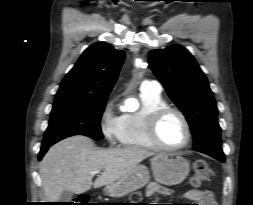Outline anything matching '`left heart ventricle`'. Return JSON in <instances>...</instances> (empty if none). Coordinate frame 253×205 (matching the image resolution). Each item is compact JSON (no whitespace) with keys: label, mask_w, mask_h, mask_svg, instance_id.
<instances>
[{"label":"left heart ventricle","mask_w":253,"mask_h":205,"mask_svg":"<svg viewBox=\"0 0 253 205\" xmlns=\"http://www.w3.org/2000/svg\"><path fill=\"white\" fill-rule=\"evenodd\" d=\"M161 141L169 146L182 144L186 139L185 125L176 114H169L164 118L159 127Z\"/></svg>","instance_id":"obj_1"}]
</instances>
